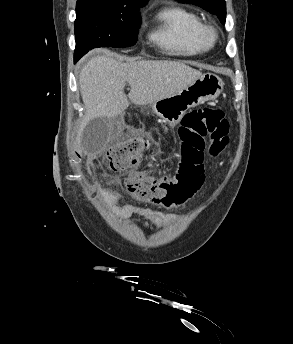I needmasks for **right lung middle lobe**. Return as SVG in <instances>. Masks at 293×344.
Masks as SVG:
<instances>
[{
    "label": "right lung middle lobe",
    "mask_w": 293,
    "mask_h": 344,
    "mask_svg": "<svg viewBox=\"0 0 293 344\" xmlns=\"http://www.w3.org/2000/svg\"><path fill=\"white\" fill-rule=\"evenodd\" d=\"M138 7L87 0L76 4L74 60L96 47H129L141 24Z\"/></svg>",
    "instance_id": "dd1d6c3e"
}]
</instances>
